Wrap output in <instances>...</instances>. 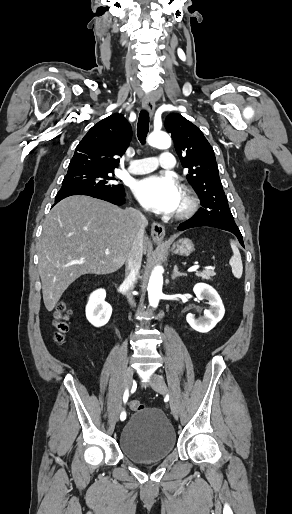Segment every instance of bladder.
<instances>
[{
  "label": "bladder",
  "mask_w": 292,
  "mask_h": 514,
  "mask_svg": "<svg viewBox=\"0 0 292 514\" xmlns=\"http://www.w3.org/2000/svg\"><path fill=\"white\" fill-rule=\"evenodd\" d=\"M176 442L172 425L163 411L154 407L134 411L124 423L118 439L123 455L137 463L166 458Z\"/></svg>",
  "instance_id": "bladder-1"
}]
</instances>
